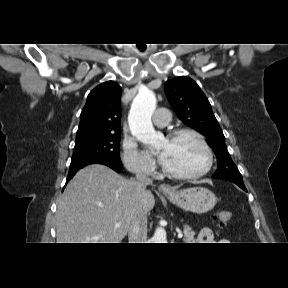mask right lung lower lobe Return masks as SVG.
I'll return each instance as SVG.
<instances>
[{
  "mask_svg": "<svg viewBox=\"0 0 288 288\" xmlns=\"http://www.w3.org/2000/svg\"><path fill=\"white\" fill-rule=\"evenodd\" d=\"M93 163L104 164V165L109 166L110 168H112L116 171H121L123 168V166H117L115 164H112V163H110L104 159H100V158L84 160V161H81L79 163L70 164L69 173L67 176L66 183L75 175V173L79 169L83 168L86 165L93 164Z\"/></svg>",
  "mask_w": 288,
  "mask_h": 288,
  "instance_id": "right-lung-lower-lobe-1",
  "label": "right lung lower lobe"
}]
</instances>
